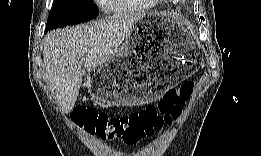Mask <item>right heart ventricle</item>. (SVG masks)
<instances>
[{
  "label": "right heart ventricle",
  "mask_w": 261,
  "mask_h": 156,
  "mask_svg": "<svg viewBox=\"0 0 261 156\" xmlns=\"http://www.w3.org/2000/svg\"><path fill=\"white\" fill-rule=\"evenodd\" d=\"M132 0H105L102 3L113 11H124L128 9Z\"/></svg>",
  "instance_id": "right-heart-ventricle-1"
}]
</instances>
